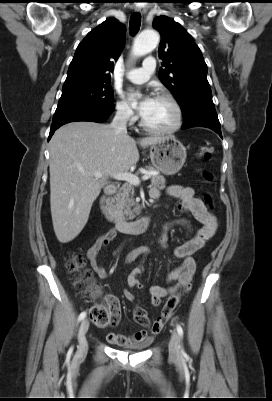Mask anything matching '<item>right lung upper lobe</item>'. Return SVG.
<instances>
[{
    "label": "right lung upper lobe",
    "instance_id": "right-lung-upper-lobe-1",
    "mask_svg": "<svg viewBox=\"0 0 272 401\" xmlns=\"http://www.w3.org/2000/svg\"><path fill=\"white\" fill-rule=\"evenodd\" d=\"M125 36V26L115 18H108L90 31L76 49L62 90L110 81L113 60L120 56Z\"/></svg>",
    "mask_w": 272,
    "mask_h": 401
}]
</instances>
